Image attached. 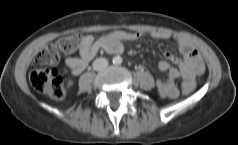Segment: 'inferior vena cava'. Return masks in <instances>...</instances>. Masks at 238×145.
Masks as SVG:
<instances>
[{
    "label": "inferior vena cava",
    "instance_id": "602c4592",
    "mask_svg": "<svg viewBox=\"0 0 238 145\" xmlns=\"http://www.w3.org/2000/svg\"><path fill=\"white\" fill-rule=\"evenodd\" d=\"M108 66V60L106 58H97L93 62V69L101 71Z\"/></svg>",
    "mask_w": 238,
    "mask_h": 145
}]
</instances>
